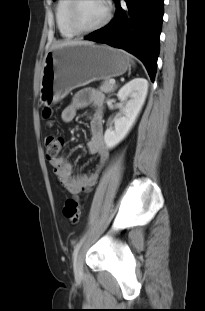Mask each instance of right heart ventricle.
I'll use <instances>...</instances> for the list:
<instances>
[{
    "label": "right heart ventricle",
    "mask_w": 205,
    "mask_h": 311,
    "mask_svg": "<svg viewBox=\"0 0 205 311\" xmlns=\"http://www.w3.org/2000/svg\"><path fill=\"white\" fill-rule=\"evenodd\" d=\"M71 0H58L55 18L58 30L62 37L73 38L77 33L71 28L68 21V8Z\"/></svg>",
    "instance_id": "obj_1"
}]
</instances>
